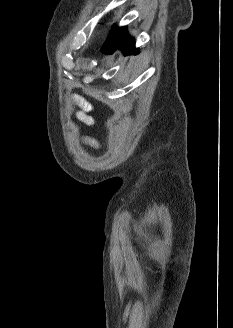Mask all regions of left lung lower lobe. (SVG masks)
I'll list each match as a JSON object with an SVG mask.
<instances>
[{
    "instance_id": "0a47b994",
    "label": "left lung lower lobe",
    "mask_w": 233,
    "mask_h": 328,
    "mask_svg": "<svg viewBox=\"0 0 233 328\" xmlns=\"http://www.w3.org/2000/svg\"><path fill=\"white\" fill-rule=\"evenodd\" d=\"M117 48L124 54H129L130 51L134 52L136 50L135 42L128 37L126 27L114 26L101 51L106 54H112Z\"/></svg>"
}]
</instances>
